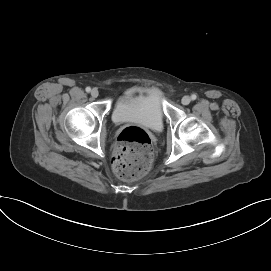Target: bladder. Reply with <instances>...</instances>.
<instances>
[{
	"label": "bladder",
	"instance_id": "bladder-1",
	"mask_svg": "<svg viewBox=\"0 0 271 271\" xmlns=\"http://www.w3.org/2000/svg\"><path fill=\"white\" fill-rule=\"evenodd\" d=\"M112 119L118 124L135 122L159 131L164 125L161 97L155 90L127 92L117 100Z\"/></svg>",
	"mask_w": 271,
	"mask_h": 271
}]
</instances>
